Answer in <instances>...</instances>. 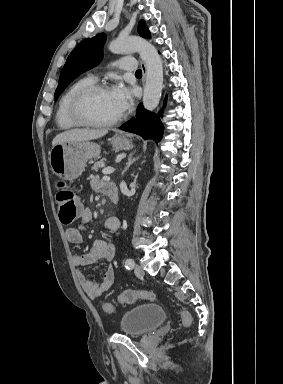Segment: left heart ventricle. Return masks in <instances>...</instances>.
I'll return each mask as SVG.
<instances>
[{
    "label": "left heart ventricle",
    "instance_id": "obj_1",
    "mask_svg": "<svg viewBox=\"0 0 283 384\" xmlns=\"http://www.w3.org/2000/svg\"><path fill=\"white\" fill-rule=\"evenodd\" d=\"M82 116L89 121L107 122L121 113L116 108L110 89L100 90L87 98L81 107Z\"/></svg>",
    "mask_w": 283,
    "mask_h": 384
}]
</instances>
